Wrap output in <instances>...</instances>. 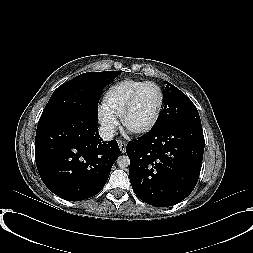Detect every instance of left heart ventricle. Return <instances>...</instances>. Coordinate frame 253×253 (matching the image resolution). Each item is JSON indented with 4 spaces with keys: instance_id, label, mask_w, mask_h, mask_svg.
<instances>
[{
    "instance_id": "1",
    "label": "left heart ventricle",
    "mask_w": 253,
    "mask_h": 253,
    "mask_svg": "<svg viewBox=\"0 0 253 253\" xmlns=\"http://www.w3.org/2000/svg\"><path fill=\"white\" fill-rule=\"evenodd\" d=\"M160 102V94L156 87L147 86L139 94L138 99L128 115L127 125L138 129L148 125Z\"/></svg>"
}]
</instances>
